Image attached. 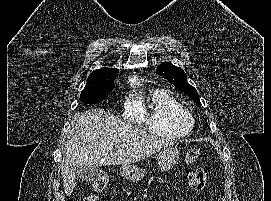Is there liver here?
Listing matches in <instances>:
<instances>
[{"mask_svg": "<svg viewBox=\"0 0 271 201\" xmlns=\"http://www.w3.org/2000/svg\"><path fill=\"white\" fill-rule=\"evenodd\" d=\"M172 140L148 134L104 109L77 114L71 122L61 163L66 196L76 187V167L129 165L173 145ZM114 146L118 150L114 152Z\"/></svg>", "mask_w": 271, "mask_h": 201, "instance_id": "6515ba94", "label": "liver"}]
</instances>
